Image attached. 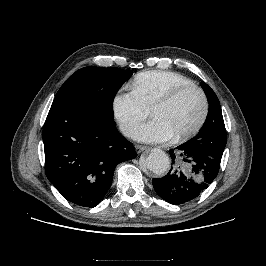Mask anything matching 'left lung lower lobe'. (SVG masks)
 <instances>
[{
	"label": "left lung lower lobe",
	"instance_id": "1",
	"mask_svg": "<svg viewBox=\"0 0 266 266\" xmlns=\"http://www.w3.org/2000/svg\"><path fill=\"white\" fill-rule=\"evenodd\" d=\"M172 166L162 178L152 179L156 193L171 204H182L200 195L216 178L221 159L192 150L185 144L169 150Z\"/></svg>",
	"mask_w": 266,
	"mask_h": 266
}]
</instances>
